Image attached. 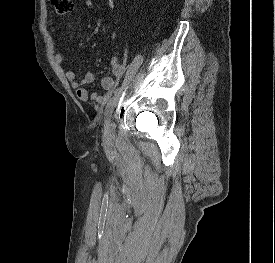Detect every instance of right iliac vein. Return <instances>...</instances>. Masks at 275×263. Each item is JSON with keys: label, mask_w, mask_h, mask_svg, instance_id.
<instances>
[{"label": "right iliac vein", "mask_w": 275, "mask_h": 263, "mask_svg": "<svg viewBox=\"0 0 275 263\" xmlns=\"http://www.w3.org/2000/svg\"><path fill=\"white\" fill-rule=\"evenodd\" d=\"M114 130V114L113 112L106 118L104 132H103V140L106 144L110 143L113 137Z\"/></svg>", "instance_id": "obj_1"}]
</instances>
